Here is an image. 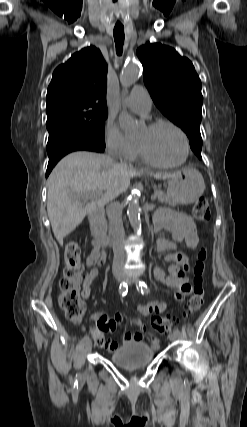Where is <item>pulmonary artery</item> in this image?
I'll list each match as a JSON object with an SVG mask.
<instances>
[{
    "label": "pulmonary artery",
    "instance_id": "pulmonary-artery-1",
    "mask_svg": "<svg viewBox=\"0 0 247 427\" xmlns=\"http://www.w3.org/2000/svg\"><path fill=\"white\" fill-rule=\"evenodd\" d=\"M125 105L133 111L146 114L151 108V98L148 91L143 86H135L124 99Z\"/></svg>",
    "mask_w": 247,
    "mask_h": 427
}]
</instances>
